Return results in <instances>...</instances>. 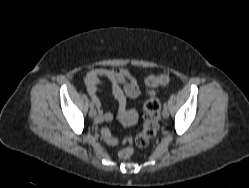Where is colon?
Listing matches in <instances>:
<instances>
[{"label": "colon", "instance_id": "5ec220e1", "mask_svg": "<svg viewBox=\"0 0 249 188\" xmlns=\"http://www.w3.org/2000/svg\"><path fill=\"white\" fill-rule=\"evenodd\" d=\"M170 81V76L167 73L159 75H151L146 78V99L143 104L144 110V123L142 131L136 135L134 142L138 147H145L149 140L153 138L159 127V112L160 103L155 95L154 88L159 85H166ZM104 140L111 145L119 143L120 139L112 135L108 128L102 129ZM133 149L125 148L120 151L119 156L122 159H129L132 156Z\"/></svg>", "mask_w": 249, "mask_h": 188}]
</instances>
